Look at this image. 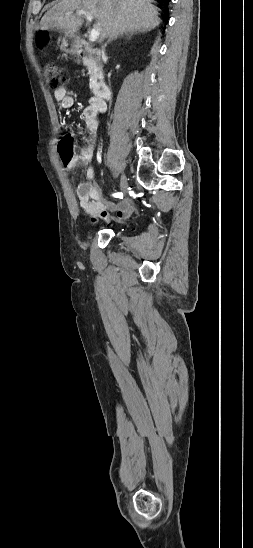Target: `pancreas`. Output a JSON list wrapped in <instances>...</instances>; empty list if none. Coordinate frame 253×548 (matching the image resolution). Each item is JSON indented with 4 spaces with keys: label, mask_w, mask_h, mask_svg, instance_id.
Returning a JSON list of instances; mask_svg holds the SVG:
<instances>
[{
    "label": "pancreas",
    "mask_w": 253,
    "mask_h": 548,
    "mask_svg": "<svg viewBox=\"0 0 253 548\" xmlns=\"http://www.w3.org/2000/svg\"><path fill=\"white\" fill-rule=\"evenodd\" d=\"M83 64L88 69L90 76V88L96 90L99 86L98 80H102V66L95 59H87L83 61Z\"/></svg>",
    "instance_id": "1"
}]
</instances>
